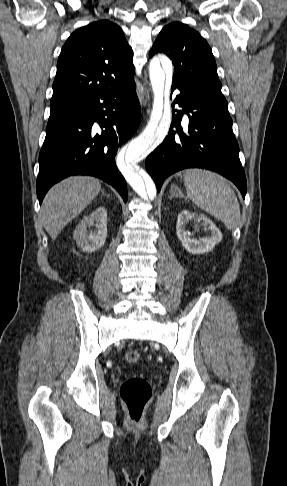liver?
Segmentation results:
<instances>
[{"label": "liver", "instance_id": "obj_1", "mask_svg": "<svg viewBox=\"0 0 287 486\" xmlns=\"http://www.w3.org/2000/svg\"><path fill=\"white\" fill-rule=\"evenodd\" d=\"M100 190L99 180L88 176H72L53 186L46 194L41 209L43 226L50 237L55 240Z\"/></svg>", "mask_w": 287, "mask_h": 486}]
</instances>
